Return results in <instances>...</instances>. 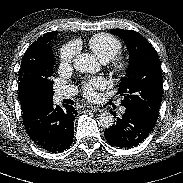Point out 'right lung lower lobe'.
I'll return each mask as SVG.
<instances>
[{
    "instance_id": "right-lung-lower-lobe-1",
    "label": "right lung lower lobe",
    "mask_w": 183,
    "mask_h": 183,
    "mask_svg": "<svg viewBox=\"0 0 183 183\" xmlns=\"http://www.w3.org/2000/svg\"><path fill=\"white\" fill-rule=\"evenodd\" d=\"M23 123L31 140L49 152H61L70 147L74 136V107L53 106L47 99L22 106Z\"/></svg>"
}]
</instances>
